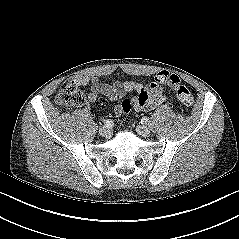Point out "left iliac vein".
I'll use <instances>...</instances> for the list:
<instances>
[{"label": "left iliac vein", "instance_id": "left-iliac-vein-1", "mask_svg": "<svg viewBox=\"0 0 239 239\" xmlns=\"http://www.w3.org/2000/svg\"><path fill=\"white\" fill-rule=\"evenodd\" d=\"M136 131L139 135H141L143 137H148L151 134L150 129L146 126H143V125L137 126Z\"/></svg>", "mask_w": 239, "mask_h": 239}]
</instances>
